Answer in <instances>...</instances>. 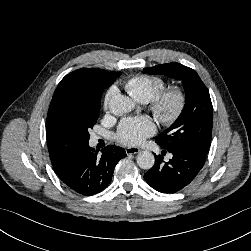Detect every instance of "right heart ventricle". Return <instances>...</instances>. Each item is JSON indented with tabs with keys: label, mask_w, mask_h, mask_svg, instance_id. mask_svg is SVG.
<instances>
[{
	"label": "right heart ventricle",
	"mask_w": 251,
	"mask_h": 251,
	"mask_svg": "<svg viewBox=\"0 0 251 251\" xmlns=\"http://www.w3.org/2000/svg\"><path fill=\"white\" fill-rule=\"evenodd\" d=\"M165 87L163 79L156 76L138 75L129 79L125 89L135 100L147 103L155 98Z\"/></svg>",
	"instance_id": "1"
}]
</instances>
